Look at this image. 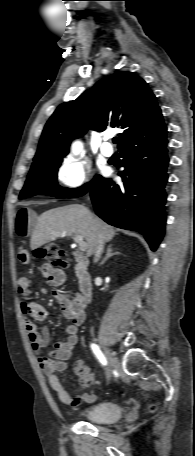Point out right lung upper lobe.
<instances>
[{
    "mask_svg": "<svg viewBox=\"0 0 195 456\" xmlns=\"http://www.w3.org/2000/svg\"><path fill=\"white\" fill-rule=\"evenodd\" d=\"M88 127L99 132L110 127L121 129L119 150L139 136L167 132L147 83L131 72H118L55 110L45 125L32 166L65 157L71 140L81 137Z\"/></svg>",
    "mask_w": 195,
    "mask_h": 456,
    "instance_id": "right-lung-upper-lobe-1",
    "label": "right lung upper lobe"
}]
</instances>
